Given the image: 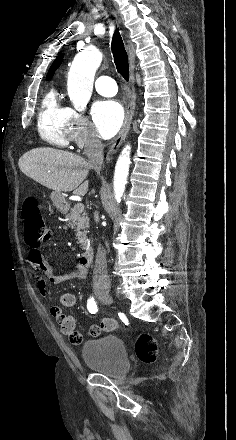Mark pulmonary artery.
Here are the masks:
<instances>
[{
	"instance_id": "1",
	"label": "pulmonary artery",
	"mask_w": 236,
	"mask_h": 440,
	"mask_svg": "<svg viewBox=\"0 0 236 440\" xmlns=\"http://www.w3.org/2000/svg\"><path fill=\"white\" fill-rule=\"evenodd\" d=\"M96 91L103 96H114L117 92L115 81L106 75L99 76L95 82Z\"/></svg>"
}]
</instances>
